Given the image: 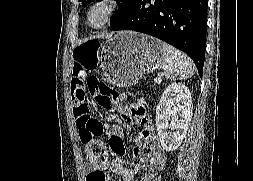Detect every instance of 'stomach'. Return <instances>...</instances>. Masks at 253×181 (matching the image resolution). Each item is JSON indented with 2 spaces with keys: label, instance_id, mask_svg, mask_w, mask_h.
I'll return each instance as SVG.
<instances>
[{
  "label": "stomach",
  "instance_id": "1",
  "mask_svg": "<svg viewBox=\"0 0 253 181\" xmlns=\"http://www.w3.org/2000/svg\"><path fill=\"white\" fill-rule=\"evenodd\" d=\"M100 61L110 85L130 87L144 74L162 67L163 42L146 34L122 31L102 45Z\"/></svg>",
  "mask_w": 253,
  "mask_h": 181
}]
</instances>
